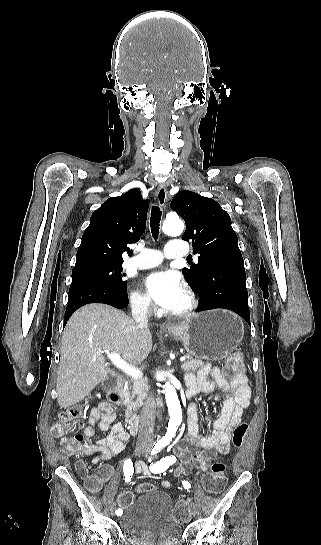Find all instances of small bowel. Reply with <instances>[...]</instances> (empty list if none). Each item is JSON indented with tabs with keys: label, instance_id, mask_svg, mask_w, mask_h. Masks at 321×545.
<instances>
[{
	"label": "small bowel",
	"instance_id": "obj_1",
	"mask_svg": "<svg viewBox=\"0 0 321 545\" xmlns=\"http://www.w3.org/2000/svg\"><path fill=\"white\" fill-rule=\"evenodd\" d=\"M186 382V396L190 399L216 389H221L226 395L220 414L213 421V429L206 436L200 434L198 408L196 403L192 402L187 418L188 436L175 446V453L183 464L179 474H187L193 467L197 469L196 474H199L207 470L210 460L216 453H228L231 427L240 422L244 410L249 406L251 392L245 376L229 381L218 367L209 364L204 365L196 375H188ZM116 417L115 411L107 402H101L90 413L89 424L84 429L85 436L92 438L96 425L106 433L104 438L86 444L83 448V454L86 456L98 454L92 459L94 465L118 456L126 446L129 434L122 425L115 423ZM113 472L110 464H103L98 467L96 475L103 483ZM135 473L148 476L151 470L144 463H138L135 466ZM163 485L168 486L169 483L164 482Z\"/></svg>",
	"mask_w": 321,
	"mask_h": 545
}]
</instances>
